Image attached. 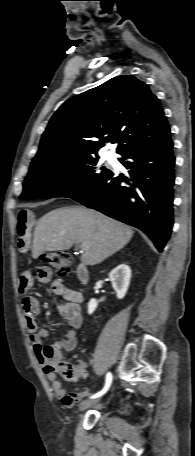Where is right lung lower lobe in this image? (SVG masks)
Returning a JSON list of instances; mask_svg holds the SVG:
<instances>
[{
	"label": "right lung lower lobe",
	"instance_id": "98d812e1",
	"mask_svg": "<svg viewBox=\"0 0 195 456\" xmlns=\"http://www.w3.org/2000/svg\"><path fill=\"white\" fill-rule=\"evenodd\" d=\"M121 155L119 161L129 169V179L111 173L97 187L73 199L139 228L161 252L173 226V142L170 138Z\"/></svg>",
	"mask_w": 195,
	"mask_h": 456
}]
</instances>
